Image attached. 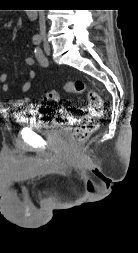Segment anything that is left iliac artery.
Segmentation results:
<instances>
[{"label": "left iliac artery", "instance_id": "obj_1", "mask_svg": "<svg viewBox=\"0 0 138 253\" xmlns=\"http://www.w3.org/2000/svg\"><path fill=\"white\" fill-rule=\"evenodd\" d=\"M35 55H36L37 60L41 63V65L44 66L47 64V60L40 48L35 49Z\"/></svg>", "mask_w": 138, "mask_h": 253}]
</instances>
